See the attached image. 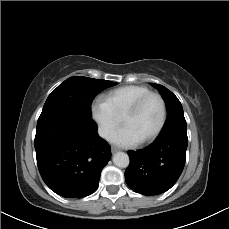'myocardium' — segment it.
<instances>
[{
    "mask_svg": "<svg viewBox=\"0 0 229 229\" xmlns=\"http://www.w3.org/2000/svg\"><path fill=\"white\" fill-rule=\"evenodd\" d=\"M150 97H155L160 102V105H161V120H160V123H159L158 127L156 128V130L151 135H149L146 138L141 139L138 144H136V145H134L132 147H137L139 145H143V144L152 142L153 140H155L160 135V133L162 132V130L165 127L166 120H167V105H166L165 99L157 92H148V93L142 95L141 97H139L137 100H135L127 108L125 114L123 115V117H122V126H125L127 121L137 113V111L140 109L142 104Z\"/></svg>",
    "mask_w": 229,
    "mask_h": 229,
    "instance_id": "myocardium-1",
    "label": "myocardium"
}]
</instances>
